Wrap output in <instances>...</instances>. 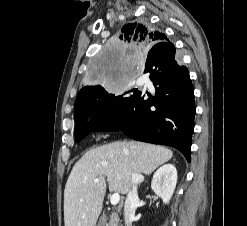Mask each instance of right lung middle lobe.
Returning <instances> with one entry per match:
<instances>
[{
	"label": "right lung middle lobe",
	"instance_id": "obj_1",
	"mask_svg": "<svg viewBox=\"0 0 247 226\" xmlns=\"http://www.w3.org/2000/svg\"><path fill=\"white\" fill-rule=\"evenodd\" d=\"M93 94L77 102L74 106L75 140H82L91 131H96L99 123L115 112L127 99L126 93H112L99 86Z\"/></svg>",
	"mask_w": 247,
	"mask_h": 226
}]
</instances>
